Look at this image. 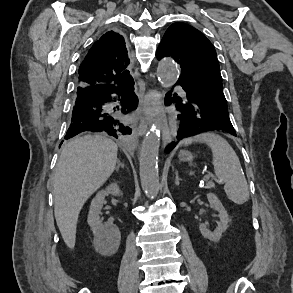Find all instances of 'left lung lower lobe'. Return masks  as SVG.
<instances>
[{
	"label": "left lung lower lobe",
	"instance_id": "left-lung-lower-lobe-1",
	"mask_svg": "<svg viewBox=\"0 0 293 293\" xmlns=\"http://www.w3.org/2000/svg\"><path fill=\"white\" fill-rule=\"evenodd\" d=\"M185 92V97L171 92L166 95L167 103H174L179 112L178 140L207 131H223L236 136L227 108L209 104L193 93ZM175 146L176 143L172 142L167 146L166 152H170Z\"/></svg>",
	"mask_w": 293,
	"mask_h": 293
}]
</instances>
